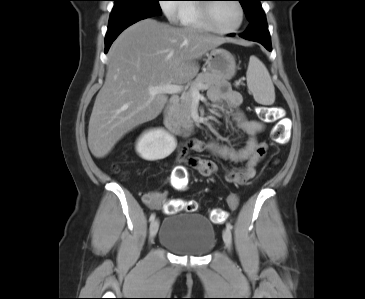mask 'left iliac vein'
Here are the masks:
<instances>
[{"instance_id":"4c4485c4","label":"left iliac vein","mask_w":365,"mask_h":299,"mask_svg":"<svg viewBox=\"0 0 365 299\" xmlns=\"http://www.w3.org/2000/svg\"><path fill=\"white\" fill-rule=\"evenodd\" d=\"M223 240L226 244V246L230 249L232 244V235L231 231L229 229H225L223 231Z\"/></svg>"}]
</instances>
